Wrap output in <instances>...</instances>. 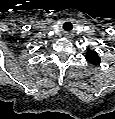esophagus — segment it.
I'll list each match as a JSON object with an SVG mask.
<instances>
[{
    "label": "esophagus",
    "instance_id": "1",
    "mask_svg": "<svg viewBox=\"0 0 115 119\" xmlns=\"http://www.w3.org/2000/svg\"><path fill=\"white\" fill-rule=\"evenodd\" d=\"M65 37H66V38H72V34L66 33V34H65Z\"/></svg>",
    "mask_w": 115,
    "mask_h": 119
}]
</instances>
